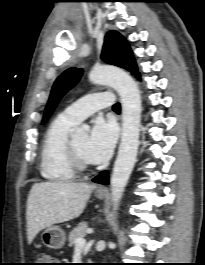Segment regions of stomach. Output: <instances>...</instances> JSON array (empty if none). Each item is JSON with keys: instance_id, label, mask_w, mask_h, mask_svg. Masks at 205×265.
Segmentation results:
<instances>
[{"instance_id": "1", "label": "stomach", "mask_w": 205, "mask_h": 265, "mask_svg": "<svg viewBox=\"0 0 205 265\" xmlns=\"http://www.w3.org/2000/svg\"><path fill=\"white\" fill-rule=\"evenodd\" d=\"M96 197L103 199L105 194L96 193ZM43 243L52 249H60L64 246L66 241L65 232L58 226L48 227L42 234Z\"/></svg>"}]
</instances>
